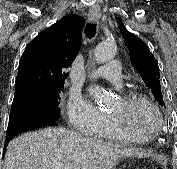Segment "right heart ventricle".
I'll list each match as a JSON object with an SVG mask.
<instances>
[{
	"label": "right heart ventricle",
	"mask_w": 177,
	"mask_h": 169,
	"mask_svg": "<svg viewBox=\"0 0 177 169\" xmlns=\"http://www.w3.org/2000/svg\"><path fill=\"white\" fill-rule=\"evenodd\" d=\"M97 137L107 139V140H115V141H124L128 140L118 129L114 121L109 115H105L104 122L100 131L97 133ZM149 140H142L139 142H147Z\"/></svg>",
	"instance_id": "obj_1"
}]
</instances>
